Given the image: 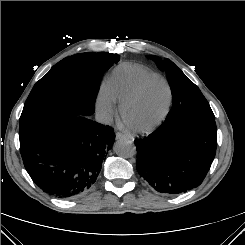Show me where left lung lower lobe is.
Returning <instances> with one entry per match:
<instances>
[{
    "label": "left lung lower lobe",
    "instance_id": "left-lung-lower-lobe-1",
    "mask_svg": "<svg viewBox=\"0 0 245 245\" xmlns=\"http://www.w3.org/2000/svg\"><path fill=\"white\" fill-rule=\"evenodd\" d=\"M136 167L156 191L175 195L200 185L216 154L215 117L182 113L135 141Z\"/></svg>",
    "mask_w": 245,
    "mask_h": 245
}]
</instances>
